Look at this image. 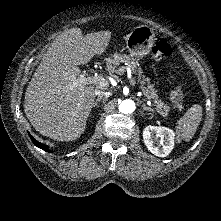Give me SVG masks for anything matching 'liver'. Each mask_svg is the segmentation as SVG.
<instances>
[{
	"instance_id": "obj_1",
	"label": "liver",
	"mask_w": 221,
	"mask_h": 221,
	"mask_svg": "<svg viewBox=\"0 0 221 221\" xmlns=\"http://www.w3.org/2000/svg\"><path fill=\"white\" fill-rule=\"evenodd\" d=\"M110 31L83 34L71 28L59 35L42 58L25 93L24 111L32 126L54 140L72 141L81 136L93 107L95 87L74 86L78 65L102 55Z\"/></svg>"
}]
</instances>
